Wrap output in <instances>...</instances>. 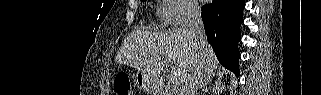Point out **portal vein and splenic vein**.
<instances>
[{
	"label": "portal vein and splenic vein",
	"mask_w": 321,
	"mask_h": 95,
	"mask_svg": "<svg viewBox=\"0 0 321 95\" xmlns=\"http://www.w3.org/2000/svg\"><path fill=\"white\" fill-rule=\"evenodd\" d=\"M170 84H171V86H175V85H177L178 84V80H177V78L176 77H171L170 78Z\"/></svg>",
	"instance_id": "1"
}]
</instances>
